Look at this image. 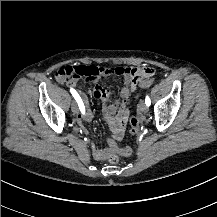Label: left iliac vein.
Here are the masks:
<instances>
[{"label": "left iliac vein", "instance_id": "left-iliac-vein-1", "mask_svg": "<svg viewBox=\"0 0 217 217\" xmlns=\"http://www.w3.org/2000/svg\"><path fill=\"white\" fill-rule=\"evenodd\" d=\"M139 109L142 113H147L149 110L148 106L145 103H141Z\"/></svg>", "mask_w": 217, "mask_h": 217}]
</instances>
